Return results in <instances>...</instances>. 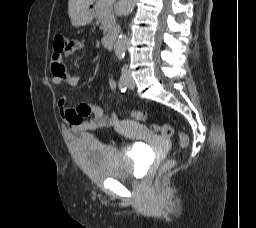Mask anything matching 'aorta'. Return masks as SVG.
Segmentation results:
<instances>
[{
	"label": "aorta",
	"mask_w": 256,
	"mask_h": 228,
	"mask_svg": "<svg viewBox=\"0 0 256 228\" xmlns=\"http://www.w3.org/2000/svg\"><path fill=\"white\" fill-rule=\"evenodd\" d=\"M135 3L136 0H121L120 13L123 16H128L132 12ZM126 44L127 36L125 34H120L114 45L115 54L119 60H122L125 56Z\"/></svg>",
	"instance_id": "762f6f07"
}]
</instances>
